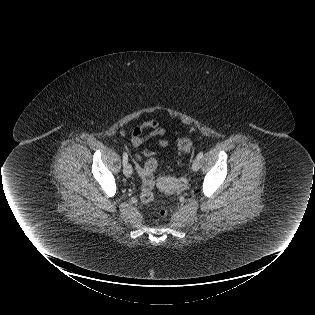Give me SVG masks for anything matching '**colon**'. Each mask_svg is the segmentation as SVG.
Wrapping results in <instances>:
<instances>
[{"label": "colon", "mask_w": 315, "mask_h": 315, "mask_svg": "<svg viewBox=\"0 0 315 315\" xmlns=\"http://www.w3.org/2000/svg\"><path fill=\"white\" fill-rule=\"evenodd\" d=\"M192 140L189 138H183L178 141L177 149L186 153L192 148ZM158 162L155 158H150L140 171V176L142 178V188L140 192V199L143 203L149 204L154 200V187H155V177L154 174L157 170ZM167 210L161 209L159 211V217L164 219L167 217Z\"/></svg>", "instance_id": "colon-1"}]
</instances>
